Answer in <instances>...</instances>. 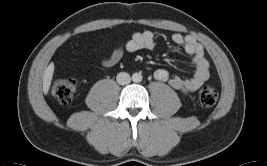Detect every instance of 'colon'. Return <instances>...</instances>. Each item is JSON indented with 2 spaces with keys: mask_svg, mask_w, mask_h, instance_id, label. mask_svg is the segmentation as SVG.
<instances>
[{
  "mask_svg": "<svg viewBox=\"0 0 267 166\" xmlns=\"http://www.w3.org/2000/svg\"><path fill=\"white\" fill-rule=\"evenodd\" d=\"M77 81L75 78H64L56 81L52 92L56 99L62 104H70L76 90ZM218 90L212 85H205L200 89L199 100L202 105L210 107L218 100Z\"/></svg>",
  "mask_w": 267,
  "mask_h": 166,
  "instance_id": "5ec220e1",
  "label": "colon"
}]
</instances>
